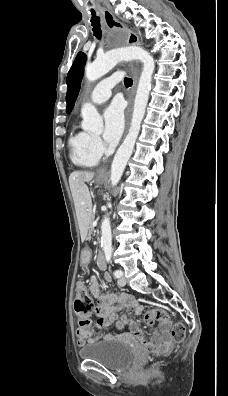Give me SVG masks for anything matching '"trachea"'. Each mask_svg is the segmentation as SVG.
<instances>
[{"label": "trachea", "mask_w": 228, "mask_h": 396, "mask_svg": "<svg viewBox=\"0 0 228 396\" xmlns=\"http://www.w3.org/2000/svg\"><path fill=\"white\" fill-rule=\"evenodd\" d=\"M91 25H92V31H93V33H94V36L97 38V39H101V37H102V31H101V28H100V18L96 15V12L95 11H91ZM132 83H133V81H132V79L131 78H125L124 79V85L125 86H127V87H129V86H131L132 85Z\"/></svg>", "instance_id": "1"}]
</instances>
